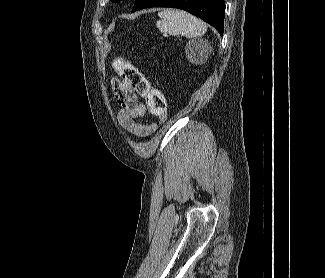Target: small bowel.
<instances>
[{"instance_id": "c3829d8e", "label": "small bowel", "mask_w": 325, "mask_h": 278, "mask_svg": "<svg viewBox=\"0 0 325 278\" xmlns=\"http://www.w3.org/2000/svg\"><path fill=\"white\" fill-rule=\"evenodd\" d=\"M111 89L116 102L121 106L117 119L122 126L134 136L143 138L155 131L156 122L143 123L135 120L143 119L146 115V105L140 100V95L126 82L118 78L111 80ZM166 115L159 117L160 121Z\"/></svg>"}]
</instances>
